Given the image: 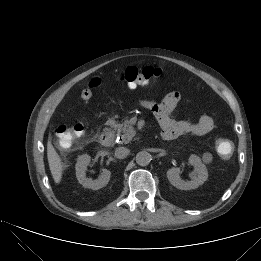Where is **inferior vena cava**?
<instances>
[{"label":"inferior vena cava","mask_w":261,"mask_h":261,"mask_svg":"<svg viewBox=\"0 0 261 261\" xmlns=\"http://www.w3.org/2000/svg\"><path fill=\"white\" fill-rule=\"evenodd\" d=\"M129 153H130V150L128 148L118 147L115 150V157L119 158V159H123V158L127 157Z\"/></svg>","instance_id":"obj_1"}]
</instances>
